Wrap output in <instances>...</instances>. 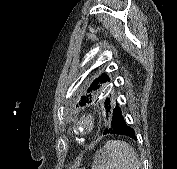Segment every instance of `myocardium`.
I'll return each mask as SVG.
<instances>
[{"instance_id": "obj_1", "label": "myocardium", "mask_w": 177, "mask_h": 169, "mask_svg": "<svg viewBox=\"0 0 177 169\" xmlns=\"http://www.w3.org/2000/svg\"><path fill=\"white\" fill-rule=\"evenodd\" d=\"M78 125L85 133H89L94 129L95 121L91 114H84L78 120Z\"/></svg>"}]
</instances>
